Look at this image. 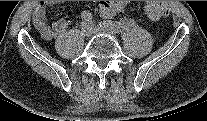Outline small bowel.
<instances>
[{
	"mask_svg": "<svg viewBox=\"0 0 207 121\" xmlns=\"http://www.w3.org/2000/svg\"><path fill=\"white\" fill-rule=\"evenodd\" d=\"M56 4L55 1L39 2L33 12V24L41 37L45 40L52 38L63 32L71 23V14L68 13L64 17L55 19L51 25L46 19V10ZM125 3L122 1H102L100 3V12L105 18H112L116 13L123 10Z\"/></svg>",
	"mask_w": 207,
	"mask_h": 121,
	"instance_id": "1",
	"label": "small bowel"
}]
</instances>
